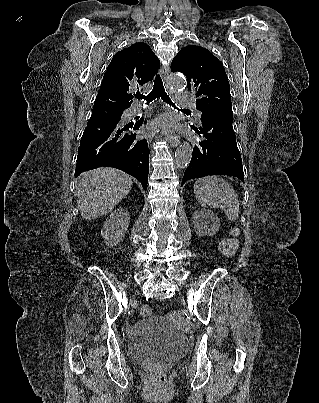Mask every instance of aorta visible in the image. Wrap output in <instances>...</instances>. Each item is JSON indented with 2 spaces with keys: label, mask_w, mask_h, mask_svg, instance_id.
Wrapping results in <instances>:
<instances>
[{
  "label": "aorta",
  "mask_w": 319,
  "mask_h": 403,
  "mask_svg": "<svg viewBox=\"0 0 319 403\" xmlns=\"http://www.w3.org/2000/svg\"><path fill=\"white\" fill-rule=\"evenodd\" d=\"M168 85L174 90H182L186 86L183 77L172 74L168 79ZM192 157V146L189 142H183L175 153L176 164L180 168L187 167Z\"/></svg>",
  "instance_id": "1"
}]
</instances>
